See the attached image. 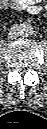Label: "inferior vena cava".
I'll use <instances>...</instances> for the list:
<instances>
[{
    "label": "inferior vena cava",
    "instance_id": "602c4592",
    "mask_svg": "<svg viewBox=\"0 0 47 129\" xmlns=\"http://www.w3.org/2000/svg\"><path fill=\"white\" fill-rule=\"evenodd\" d=\"M18 27H12L9 31V34H8V38L9 39H15L16 37H18L19 35V32H18Z\"/></svg>",
    "mask_w": 47,
    "mask_h": 129
}]
</instances>
